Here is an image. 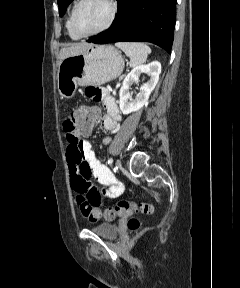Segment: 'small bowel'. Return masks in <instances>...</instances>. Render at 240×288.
Wrapping results in <instances>:
<instances>
[{
	"mask_svg": "<svg viewBox=\"0 0 240 288\" xmlns=\"http://www.w3.org/2000/svg\"><path fill=\"white\" fill-rule=\"evenodd\" d=\"M86 96L104 105L105 113L101 119L102 126L109 132L116 130L121 121L120 111L115 98L103 87H87ZM67 142V160L72 189L86 197L98 195L100 197L117 198L124 191V185L113 173L95 156L91 144L85 140L90 130L78 131L70 123L69 115L63 124ZM110 138L106 137L104 143L108 144ZM97 182L107 188H99L92 182Z\"/></svg>",
	"mask_w": 240,
	"mask_h": 288,
	"instance_id": "c3829d8e",
	"label": "small bowel"
}]
</instances>
